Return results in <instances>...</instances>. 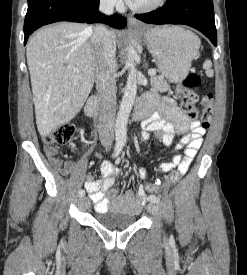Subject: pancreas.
Returning <instances> with one entry per match:
<instances>
[{
  "label": "pancreas",
  "mask_w": 247,
  "mask_h": 275,
  "mask_svg": "<svg viewBox=\"0 0 247 275\" xmlns=\"http://www.w3.org/2000/svg\"><path fill=\"white\" fill-rule=\"evenodd\" d=\"M150 84L153 91L156 92H166L170 90V86L167 81H165L162 77L154 76L150 79Z\"/></svg>",
  "instance_id": "1"
}]
</instances>
